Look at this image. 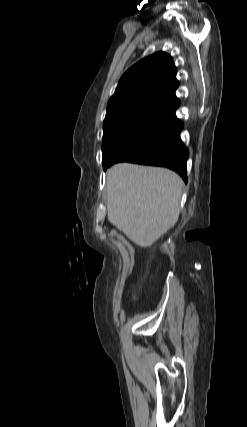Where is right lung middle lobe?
I'll return each instance as SVG.
<instances>
[{"instance_id":"obj_1","label":"right lung middle lobe","mask_w":247,"mask_h":427,"mask_svg":"<svg viewBox=\"0 0 247 427\" xmlns=\"http://www.w3.org/2000/svg\"><path fill=\"white\" fill-rule=\"evenodd\" d=\"M151 112L140 109L107 114L103 124V166H105L128 134Z\"/></svg>"}]
</instances>
